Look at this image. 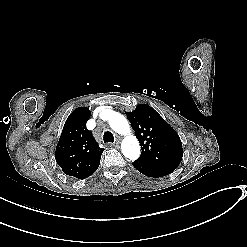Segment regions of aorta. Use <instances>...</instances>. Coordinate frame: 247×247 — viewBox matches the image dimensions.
I'll return each mask as SVG.
<instances>
[{
	"mask_svg": "<svg viewBox=\"0 0 247 247\" xmlns=\"http://www.w3.org/2000/svg\"><path fill=\"white\" fill-rule=\"evenodd\" d=\"M108 121L116 133L126 136L121 145L123 155L130 160H136L140 156V145L136 136L130 133L127 119L122 114L112 111Z\"/></svg>",
	"mask_w": 247,
	"mask_h": 247,
	"instance_id": "obj_1",
	"label": "aorta"
}]
</instances>
